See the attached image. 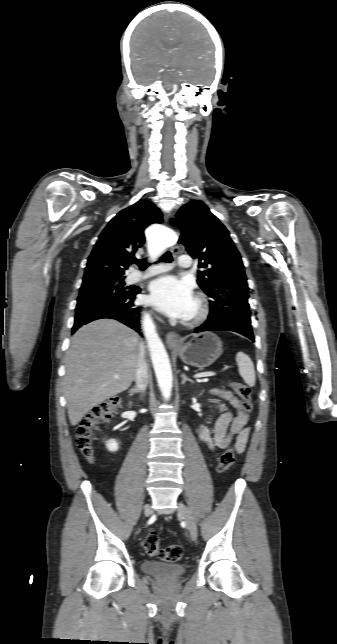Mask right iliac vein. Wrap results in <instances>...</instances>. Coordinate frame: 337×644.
Instances as JSON below:
<instances>
[{
  "mask_svg": "<svg viewBox=\"0 0 337 644\" xmlns=\"http://www.w3.org/2000/svg\"><path fill=\"white\" fill-rule=\"evenodd\" d=\"M151 512H152L151 507H150V506H146V508H145V514H146V516H149V515L151 514Z\"/></svg>",
  "mask_w": 337,
  "mask_h": 644,
  "instance_id": "obj_1",
  "label": "right iliac vein"
}]
</instances>
